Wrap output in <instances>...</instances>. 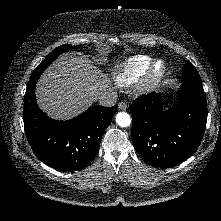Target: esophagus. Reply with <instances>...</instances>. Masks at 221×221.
Masks as SVG:
<instances>
[{
  "mask_svg": "<svg viewBox=\"0 0 221 221\" xmlns=\"http://www.w3.org/2000/svg\"><path fill=\"white\" fill-rule=\"evenodd\" d=\"M118 108H119V110H127L128 105L126 102L122 101V102L118 103Z\"/></svg>",
  "mask_w": 221,
  "mask_h": 221,
  "instance_id": "esophagus-1",
  "label": "esophagus"
}]
</instances>
